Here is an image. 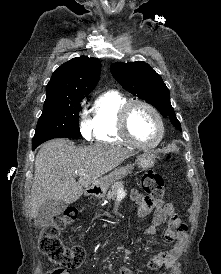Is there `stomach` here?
<instances>
[{
    "label": "stomach",
    "mask_w": 221,
    "mask_h": 274,
    "mask_svg": "<svg viewBox=\"0 0 221 274\" xmlns=\"http://www.w3.org/2000/svg\"><path fill=\"white\" fill-rule=\"evenodd\" d=\"M136 163L138 167L142 169L150 168L155 163V155L151 152H145L137 157ZM132 169L133 167L131 165L122 166L114 169L111 173H109L97 183L96 189L100 190L103 193L106 192L111 184H113L117 180L126 177L132 172Z\"/></svg>",
    "instance_id": "obj_1"
}]
</instances>
